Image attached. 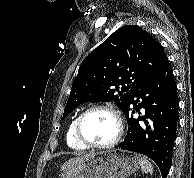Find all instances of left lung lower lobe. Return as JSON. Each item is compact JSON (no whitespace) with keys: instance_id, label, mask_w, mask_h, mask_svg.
I'll list each match as a JSON object with an SVG mask.
<instances>
[{"instance_id":"1","label":"left lung lower lobe","mask_w":194,"mask_h":178,"mask_svg":"<svg viewBox=\"0 0 194 178\" xmlns=\"http://www.w3.org/2000/svg\"><path fill=\"white\" fill-rule=\"evenodd\" d=\"M176 89L173 70L167 60L163 68L137 87L127 100L123 113L128 120V133L124 141L115 147L150 157L159 167L162 178H166L171 167L179 119ZM140 108L145 109L142 120L147 132L139 124L141 118H133V114ZM146 118L151 120V124Z\"/></svg>"}]
</instances>
